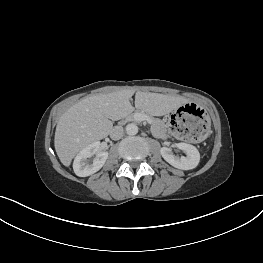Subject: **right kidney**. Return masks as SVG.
Returning <instances> with one entry per match:
<instances>
[{
	"instance_id": "right-kidney-1",
	"label": "right kidney",
	"mask_w": 263,
	"mask_h": 263,
	"mask_svg": "<svg viewBox=\"0 0 263 263\" xmlns=\"http://www.w3.org/2000/svg\"><path fill=\"white\" fill-rule=\"evenodd\" d=\"M100 142L96 141L83 148L75 157L73 169L77 176L86 177L99 171L108 158V152L100 151ZM95 155L91 162L90 157Z\"/></svg>"
}]
</instances>
